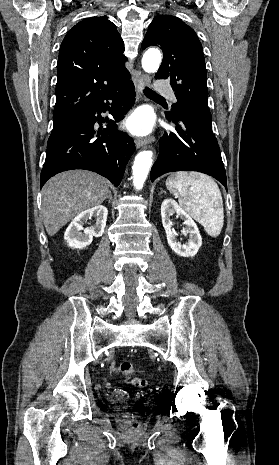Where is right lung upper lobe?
<instances>
[{"instance_id": "right-lung-upper-lobe-1", "label": "right lung upper lobe", "mask_w": 279, "mask_h": 465, "mask_svg": "<svg viewBox=\"0 0 279 465\" xmlns=\"http://www.w3.org/2000/svg\"><path fill=\"white\" fill-rule=\"evenodd\" d=\"M123 52V40L106 17H90L71 28L59 52L54 125L72 121L129 81Z\"/></svg>"}]
</instances>
